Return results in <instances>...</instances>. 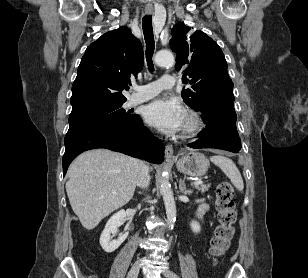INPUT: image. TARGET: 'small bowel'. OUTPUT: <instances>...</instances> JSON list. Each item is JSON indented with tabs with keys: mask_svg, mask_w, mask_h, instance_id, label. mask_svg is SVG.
Wrapping results in <instances>:
<instances>
[{
	"mask_svg": "<svg viewBox=\"0 0 308 278\" xmlns=\"http://www.w3.org/2000/svg\"><path fill=\"white\" fill-rule=\"evenodd\" d=\"M208 211V204L205 203L204 201H199L198 203V207L196 210V216L199 220H203L204 215L206 214V212Z\"/></svg>",
	"mask_w": 308,
	"mask_h": 278,
	"instance_id": "small-bowel-1",
	"label": "small bowel"
}]
</instances>
